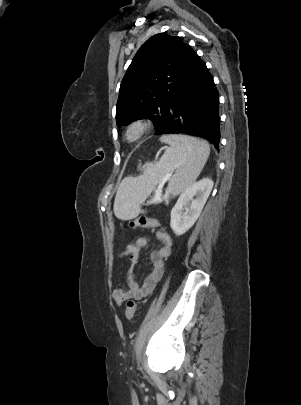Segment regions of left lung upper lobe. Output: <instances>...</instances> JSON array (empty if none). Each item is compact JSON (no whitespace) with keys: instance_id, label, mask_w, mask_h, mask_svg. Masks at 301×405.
Here are the masks:
<instances>
[{"instance_id":"5c2ea615","label":"left lung upper lobe","mask_w":301,"mask_h":405,"mask_svg":"<svg viewBox=\"0 0 301 405\" xmlns=\"http://www.w3.org/2000/svg\"><path fill=\"white\" fill-rule=\"evenodd\" d=\"M194 54L177 36L160 33L148 39L121 82L116 110L118 127L148 118L159 130Z\"/></svg>"}]
</instances>
